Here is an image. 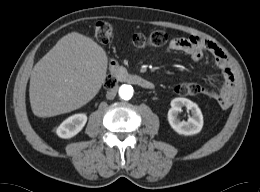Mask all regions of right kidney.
Instances as JSON below:
<instances>
[{
	"instance_id": "right-kidney-1",
	"label": "right kidney",
	"mask_w": 260,
	"mask_h": 192,
	"mask_svg": "<svg viewBox=\"0 0 260 192\" xmlns=\"http://www.w3.org/2000/svg\"><path fill=\"white\" fill-rule=\"evenodd\" d=\"M86 122L87 115L85 113L74 114L59 125L56 129V134L61 138H71L83 129Z\"/></svg>"
}]
</instances>
